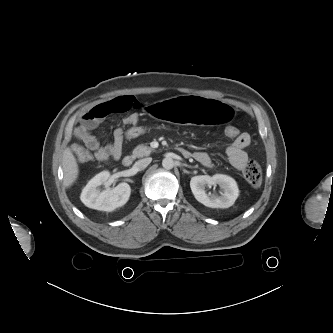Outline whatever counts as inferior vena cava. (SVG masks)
Segmentation results:
<instances>
[{"instance_id":"obj_1","label":"inferior vena cava","mask_w":333,"mask_h":333,"mask_svg":"<svg viewBox=\"0 0 333 333\" xmlns=\"http://www.w3.org/2000/svg\"><path fill=\"white\" fill-rule=\"evenodd\" d=\"M152 161V158H144L135 162L134 166L138 170H144Z\"/></svg>"}]
</instances>
